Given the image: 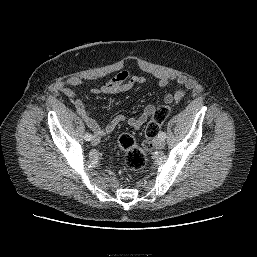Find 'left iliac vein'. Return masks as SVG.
Returning a JSON list of instances; mask_svg holds the SVG:
<instances>
[{
	"label": "left iliac vein",
	"instance_id": "left-iliac-vein-1",
	"mask_svg": "<svg viewBox=\"0 0 257 257\" xmlns=\"http://www.w3.org/2000/svg\"><path fill=\"white\" fill-rule=\"evenodd\" d=\"M154 146L156 149H162L165 146V141L163 139L157 138L154 141Z\"/></svg>",
	"mask_w": 257,
	"mask_h": 257
}]
</instances>
